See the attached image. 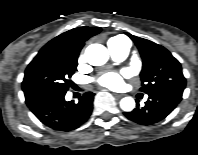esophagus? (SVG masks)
<instances>
[{"label": "esophagus", "mask_w": 198, "mask_h": 155, "mask_svg": "<svg viewBox=\"0 0 198 155\" xmlns=\"http://www.w3.org/2000/svg\"><path fill=\"white\" fill-rule=\"evenodd\" d=\"M114 96H115L116 98H122L124 95H123V94L114 93Z\"/></svg>", "instance_id": "obj_1"}]
</instances>
